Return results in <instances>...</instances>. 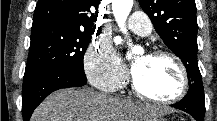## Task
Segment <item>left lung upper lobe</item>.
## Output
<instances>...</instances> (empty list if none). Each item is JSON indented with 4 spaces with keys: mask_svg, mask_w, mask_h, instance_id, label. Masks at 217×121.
<instances>
[{
    "mask_svg": "<svg viewBox=\"0 0 217 121\" xmlns=\"http://www.w3.org/2000/svg\"><path fill=\"white\" fill-rule=\"evenodd\" d=\"M164 43L183 62L189 79V91L205 107L204 90L197 64L196 5L194 0H139Z\"/></svg>",
    "mask_w": 217,
    "mask_h": 121,
    "instance_id": "1",
    "label": "left lung upper lobe"
}]
</instances>
